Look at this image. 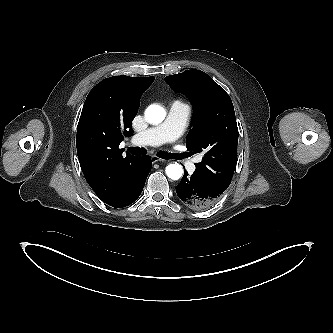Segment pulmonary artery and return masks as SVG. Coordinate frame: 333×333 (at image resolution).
<instances>
[{"mask_svg": "<svg viewBox=\"0 0 333 333\" xmlns=\"http://www.w3.org/2000/svg\"><path fill=\"white\" fill-rule=\"evenodd\" d=\"M191 113V107L187 103L176 100L168 111L164 122L149 128L144 132L136 134L132 142L136 145L158 146L163 143L173 142L184 132ZM186 168L193 172L195 170L194 162H187Z\"/></svg>", "mask_w": 333, "mask_h": 333, "instance_id": "pulmonary-artery-1", "label": "pulmonary artery"}]
</instances>
